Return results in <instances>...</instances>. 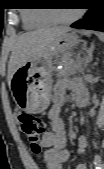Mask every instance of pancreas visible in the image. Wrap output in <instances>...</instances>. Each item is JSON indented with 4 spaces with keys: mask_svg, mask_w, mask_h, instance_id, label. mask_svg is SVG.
Returning a JSON list of instances; mask_svg holds the SVG:
<instances>
[{
    "mask_svg": "<svg viewBox=\"0 0 104 169\" xmlns=\"http://www.w3.org/2000/svg\"><path fill=\"white\" fill-rule=\"evenodd\" d=\"M61 61L63 64V68L57 71L59 79L66 78L76 73L81 65L80 61L79 60L75 61L74 59H72L70 54L63 55Z\"/></svg>",
    "mask_w": 104,
    "mask_h": 169,
    "instance_id": "obj_1",
    "label": "pancreas"
}]
</instances>
